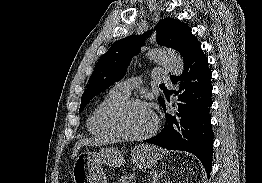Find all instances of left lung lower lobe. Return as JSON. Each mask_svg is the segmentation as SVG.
Listing matches in <instances>:
<instances>
[{
    "label": "left lung lower lobe",
    "instance_id": "1",
    "mask_svg": "<svg viewBox=\"0 0 262 183\" xmlns=\"http://www.w3.org/2000/svg\"><path fill=\"white\" fill-rule=\"evenodd\" d=\"M212 72L208 59L198 50L184 62L180 76H171L179 87L171 94L178 102L174 114H166L162 131L145 142L169 150H182L194 154L203 164L209 176L212 164L213 131L210 107L212 106ZM166 111L165 101L160 103Z\"/></svg>",
    "mask_w": 262,
    "mask_h": 183
}]
</instances>
